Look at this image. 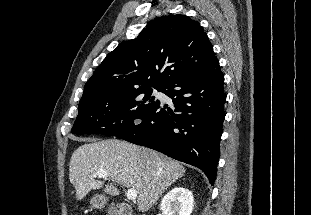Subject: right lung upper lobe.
Returning a JSON list of instances; mask_svg holds the SVG:
<instances>
[{"instance_id": "right-lung-upper-lobe-1", "label": "right lung upper lobe", "mask_w": 311, "mask_h": 215, "mask_svg": "<svg viewBox=\"0 0 311 215\" xmlns=\"http://www.w3.org/2000/svg\"><path fill=\"white\" fill-rule=\"evenodd\" d=\"M215 60L213 47L197 21L186 15L162 16L106 56L86 83L81 100L107 92L163 88Z\"/></svg>"}]
</instances>
